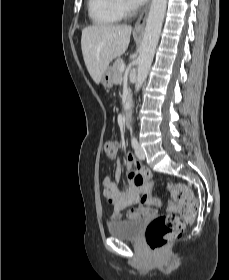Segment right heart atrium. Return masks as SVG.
<instances>
[{"label": "right heart atrium", "instance_id": "obj_1", "mask_svg": "<svg viewBox=\"0 0 229 280\" xmlns=\"http://www.w3.org/2000/svg\"><path fill=\"white\" fill-rule=\"evenodd\" d=\"M117 3L123 15L128 14L133 9L130 0H117Z\"/></svg>", "mask_w": 229, "mask_h": 280}]
</instances>
